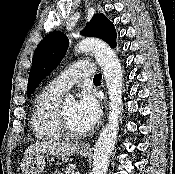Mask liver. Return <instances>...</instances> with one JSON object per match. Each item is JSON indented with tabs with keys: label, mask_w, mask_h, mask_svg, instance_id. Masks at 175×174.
I'll return each instance as SVG.
<instances>
[{
	"label": "liver",
	"mask_w": 175,
	"mask_h": 174,
	"mask_svg": "<svg viewBox=\"0 0 175 174\" xmlns=\"http://www.w3.org/2000/svg\"><path fill=\"white\" fill-rule=\"evenodd\" d=\"M78 144L59 142H40L30 145L24 152V157L29 158L38 154L69 157L78 151Z\"/></svg>",
	"instance_id": "liver-1"
}]
</instances>
